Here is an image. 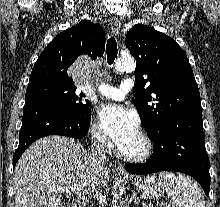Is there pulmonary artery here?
Returning a JSON list of instances; mask_svg holds the SVG:
<instances>
[{
  "label": "pulmonary artery",
  "mask_w": 220,
  "mask_h": 207,
  "mask_svg": "<svg viewBox=\"0 0 220 207\" xmlns=\"http://www.w3.org/2000/svg\"><path fill=\"white\" fill-rule=\"evenodd\" d=\"M134 82L132 79H124L119 87H113L108 84H102L98 90L106 98L113 100H122L133 89Z\"/></svg>",
  "instance_id": "obj_1"
}]
</instances>
